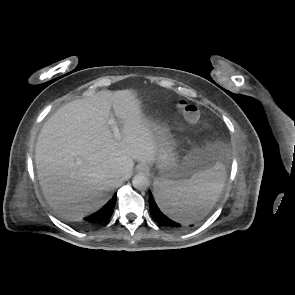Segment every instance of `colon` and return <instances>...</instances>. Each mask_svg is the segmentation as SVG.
Wrapping results in <instances>:
<instances>
[{
    "mask_svg": "<svg viewBox=\"0 0 295 295\" xmlns=\"http://www.w3.org/2000/svg\"><path fill=\"white\" fill-rule=\"evenodd\" d=\"M177 107L187 122L195 124L200 121L201 114L196 105L189 103L186 100H180L177 103Z\"/></svg>",
    "mask_w": 295,
    "mask_h": 295,
    "instance_id": "5ec220e1",
    "label": "colon"
}]
</instances>
